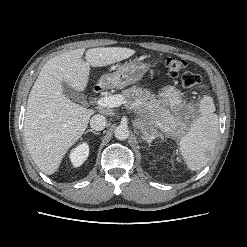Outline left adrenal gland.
I'll return each mask as SVG.
<instances>
[{
    "mask_svg": "<svg viewBox=\"0 0 247 247\" xmlns=\"http://www.w3.org/2000/svg\"><path fill=\"white\" fill-rule=\"evenodd\" d=\"M161 138L163 139V136L161 134H158L156 131L154 133H152L149 137H141L143 140H146L148 142V144H151V142L156 139V138Z\"/></svg>",
    "mask_w": 247,
    "mask_h": 247,
    "instance_id": "obj_1",
    "label": "left adrenal gland"
}]
</instances>
